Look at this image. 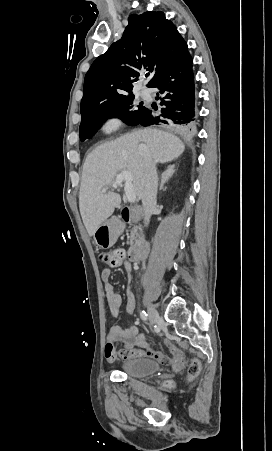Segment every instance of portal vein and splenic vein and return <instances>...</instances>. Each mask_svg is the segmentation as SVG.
Wrapping results in <instances>:
<instances>
[{"instance_id":"18ae733b","label":"portal vein and splenic vein","mask_w":272,"mask_h":451,"mask_svg":"<svg viewBox=\"0 0 272 451\" xmlns=\"http://www.w3.org/2000/svg\"><path fill=\"white\" fill-rule=\"evenodd\" d=\"M123 180H125V194L128 202H135L136 194L133 188V174L132 172H128V170H123L121 174H117V178H115V182L113 184V188H117L122 184ZM101 192H107V188H102Z\"/></svg>"}]
</instances>
